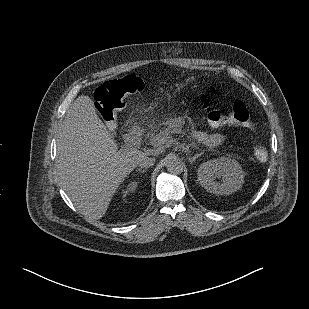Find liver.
I'll list each match as a JSON object with an SVG mask.
<instances>
[{"instance_id": "liver-1", "label": "liver", "mask_w": 309, "mask_h": 309, "mask_svg": "<svg viewBox=\"0 0 309 309\" xmlns=\"http://www.w3.org/2000/svg\"><path fill=\"white\" fill-rule=\"evenodd\" d=\"M145 156L133 148L118 150L86 95L74 101L58 132L61 184L76 208L91 219L105 215L118 186Z\"/></svg>"}]
</instances>
